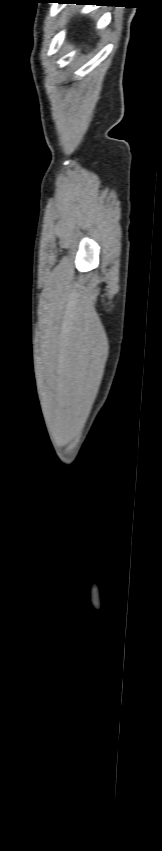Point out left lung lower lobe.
<instances>
[{
	"mask_svg": "<svg viewBox=\"0 0 162 851\" xmlns=\"http://www.w3.org/2000/svg\"><path fill=\"white\" fill-rule=\"evenodd\" d=\"M90 1H95V0H70V1H68V2H64V3H77V4L79 5V4L83 3V2H90ZM60 3H61V2H60Z\"/></svg>",
	"mask_w": 162,
	"mask_h": 851,
	"instance_id": "obj_1",
	"label": "left lung lower lobe"
}]
</instances>
